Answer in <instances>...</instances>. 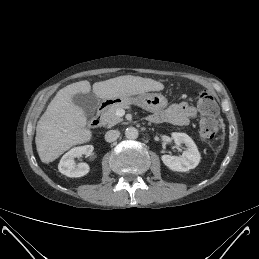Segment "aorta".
I'll use <instances>...</instances> for the list:
<instances>
[{"label":"aorta","instance_id":"aorta-1","mask_svg":"<svg viewBox=\"0 0 259 259\" xmlns=\"http://www.w3.org/2000/svg\"><path fill=\"white\" fill-rule=\"evenodd\" d=\"M139 133L135 127H128L125 130V136L127 139L134 140L138 137Z\"/></svg>","mask_w":259,"mask_h":259}]
</instances>
